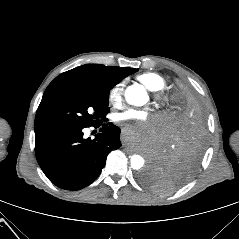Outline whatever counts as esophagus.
Here are the masks:
<instances>
[{"label": "esophagus", "instance_id": "esophagus-1", "mask_svg": "<svg viewBox=\"0 0 239 239\" xmlns=\"http://www.w3.org/2000/svg\"><path fill=\"white\" fill-rule=\"evenodd\" d=\"M126 137H127L126 134H124V133L121 134L120 135V139H119L120 143H122V144L125 143L126 140H127Z\"/></svg>", "mask_w": 239, "mask_h": 239}]
</instances>
